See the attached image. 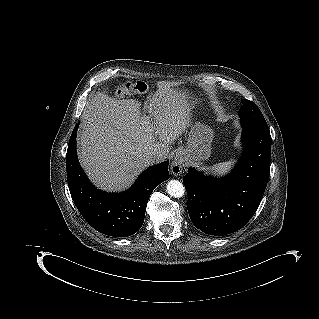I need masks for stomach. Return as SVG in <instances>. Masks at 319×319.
<instances>
[{
    "instance_id": "0dacf381",
    "label": "stomach",
    "mask_w": 319,
    "mask_h": 319,
    "mask_svg": "<svg viewBox=\"0 0 319 319\" xmlns=\"http://www.w3.org/2000/svg\"><path fill=\"white\" fill-rule=\"evenodd\" d=\"M213 130L200 122H196L190 129L186 145L181 150L183 163L197 164L209 158Z\"/></svg>"
}]
</instances>
